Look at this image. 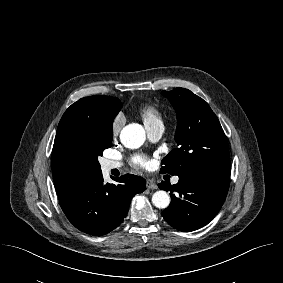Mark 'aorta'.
<instances>
[{
    "label": "aorta",
    "mask_w": 283,
    "mask_h": 283,
    "mask_svg": "<svg viewBox=\"0 0 283 283\" xmlns=\"http://www.w3.org/2000/svg\"><path fill=\"white\" fill-rule=\"evenodd\" d=\"M120 140L127 148H139L145 141V130L139 124H129L122 129L120 133ZM152 203L159 209H165L170 204V196L166 191H156L152 196Z\"/></svg>",
    "instance_id": "762f6f07"
}]
</instances>
